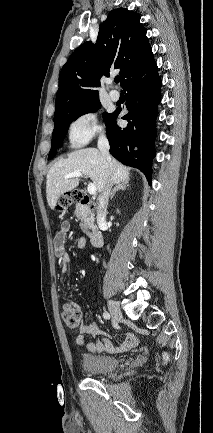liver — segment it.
Wrapping results in <instances>:
<instances>
[{"label":"liver","mask_w":213,"mask_h":433,"mask_svg":"<svg viewBox=\"0 0 213 433\" xmlns=\"http://www.w3.org/2000/svg\"><path fill=\"white\" fill-rule=\"evenodd\" d=\"M72 172H81L88 176L96 186L98 192H102L108 182L119 184L128 182L130 178L129 168L122 165L116 159L109 162L96 148H86L73 151L66 159L57 161L48 171L46 180L47 202L54 209L59 197L79 185V179L64 176Z\"/></svg>","instance_id":"6515ba94"}]
</instances>
